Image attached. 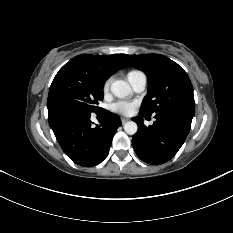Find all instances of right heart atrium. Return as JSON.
Returning a JSON list of instances; mask_svg holds the SVG:
<instances>
[{"label": "right heart atrium", "instance_id": "d8ad5b80", "mask_svg": "<svg viewBox=\"0 0 233 233\" xmlns=\"http://www.w3.org/2000/svg\"><path fill=\"white\" fill-rule=\"evenodd\" d=\"M109 87H110V80H107L104 85H103V92L106 94L109 91Z\"/></svg>", "mask_w": 233, "mask_h": 233}]
</instances>
